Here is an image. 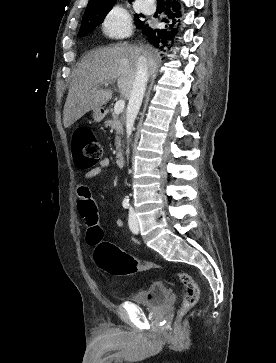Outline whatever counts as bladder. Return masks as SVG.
<instances>
[{
    "instance_id": "1",
    "label": "bladder",
    "mask_w": 276,
    "mask_h": 363,
    "mask_svg": "<svg viewBox=\"0 0 276 363\" xmlns=\"http://www.w3.org/2000/svg\"><path fill=\"white\" fill-rule=\"evenodd\" d=\"M167 299L168 288L164 285L153 283L148 288L134 294L129 301L148 308H157L164 305Z\"/></svg>"
}]
</instances>
